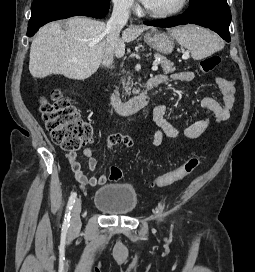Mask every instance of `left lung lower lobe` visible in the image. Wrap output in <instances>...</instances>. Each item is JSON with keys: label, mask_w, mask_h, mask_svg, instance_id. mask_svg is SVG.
Returning a JSON list of instances; mask_svg holds the SVG:
<instances>
[{"label": "left lung lower lobe", "mask_w": 255, "mask_h": 272, "mask_svg": "<svg viewBox=\"0 0 255 272\" xmlns=\"http://www.w3.org/2000/svg\"><path fill=\"white\" fill-rule=\"evenodd\" d=\"M230 21L231 11L226 0H191L190 7L183 15L144 24L157 27L197 24L215 31L230 42Z\"/></svg>", "instance_id": "left-lung-lower-lobe-1"}]
</instances>
